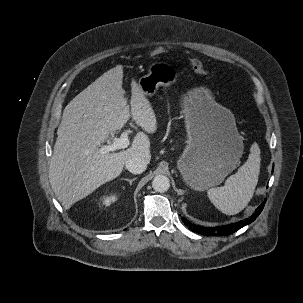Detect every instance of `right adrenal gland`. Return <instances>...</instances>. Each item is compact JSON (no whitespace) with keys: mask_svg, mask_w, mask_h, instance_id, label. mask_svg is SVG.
<instances>
[{"mask_svg":"<svg viewBox=\"0 0 303 303\" xmlns=\"http://www.w3.org/2000/svg\"><path fill=\"white\" fill-rule=\"evenodd\" d=\"M136 179H137V178L135 177V178H132V179L122 178L121 180H125V181L129 182L130 185H132V182H133L134 180H136Z\"/></svg>","mask_w":303,"mask_h":303,"instance_id":"obj_1","label":"right adrenal gland"}]
</instances>
